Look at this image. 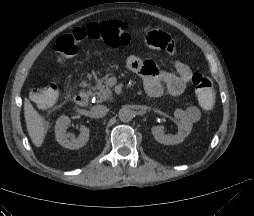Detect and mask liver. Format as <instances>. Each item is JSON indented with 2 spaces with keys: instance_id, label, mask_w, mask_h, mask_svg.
<instances>
[{
  "instance_id": "liver-1",
  "label": "liver",
  "mask_w": 254,
  "mask_h": 216,
  "mask_svg": "<svg viewBox=\"0 0 254 216\" xmlns=\"http://www.w3.org/2000/svg\"><path fill=\"white\" fill-rule=\"evenodd\" d=\"M24 116L28 134L36 147H40L45 139L46 125L44 118L34 109L28 99L24 100Z\"/></svg>"
}]
</instances>
